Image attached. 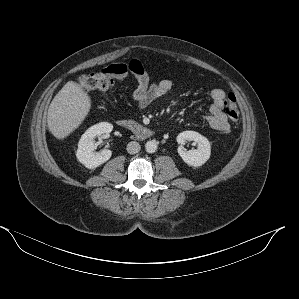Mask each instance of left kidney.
<instances>
[{
    "instance_id": "left-kidney-1",
    "label": "left kidney",
    "mask_w": 299,
    "mask_h": 299,
    "mask_svg": "<svg viewBox=\"0 0 299 299\" xmlns=\"http://www.w3.org/2000/svg\"><path fill=\"white\" fill-rule=\"evenodd\" d=\"M178 144V153L182 160L193 167H200L210 158L211 146L208 139L195 131H183L176 138ZM186 141H194L197 149L185 150L183 145Z\"/></svg>"
}]
</instances>
